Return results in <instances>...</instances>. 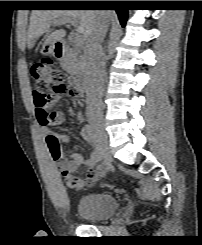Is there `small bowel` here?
<instances>
[{"mask_svg": "<svg viewBox=\"0 0 202 245\" xmlns=\"http://www.w3.org/2000/svg\"><path fill=\"white\" fill-rule=\"evenodd\" d=\"M80 102V98H77ZM54 122L51 125L60 124L64 121V114L60 111L53 113ZM78 118L81 119L82 115L78 113ZM47 124L41 123L42 133L45 137L46 143L48 146L53 140H58L59 143H68L69 137L67 134L55 133L50 130V126ZM83 139L86 142H91V138L83 128L81 130ZM52 161L54 162L56 168L61 173L66 185L75 190L82 188L92 187L103 174V167L97 164L96 153L93 152L88 157H84L77 152L65 153L62 149L58 156L51 154ZM80 165H86L88 167L87 174L83 177L74 176L73 173L78 169Z\"/></svg>", "mask_w": 202, "mask_h": 245, "instance_id": "obj_1", "label": "small bowel"}]
</instances>
